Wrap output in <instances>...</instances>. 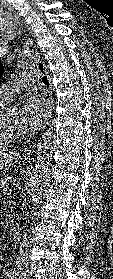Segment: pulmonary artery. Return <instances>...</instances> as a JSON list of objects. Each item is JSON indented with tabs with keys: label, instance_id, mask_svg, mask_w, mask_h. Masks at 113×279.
I'll return each instance as SVG.
<instances>
[{
	"label": "pulmonary artery",
	"instance_id": "obj_1",
	"mask_svg": "<svg viewBox=\"0 0 113 279\" xmlns=\"http://www.w3.org/2000/svg\"><path fill=\"white\" fill-rule=\"evenodd\" d=\"M33 81L34 77L29 73H17L12 79L0 86V93L10 98L22 89H30Z\"/></svg>",
	"mask_w": 113,
	"mask_h": 279
}]
</instances>
